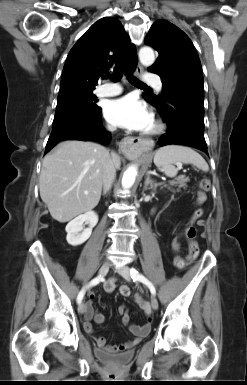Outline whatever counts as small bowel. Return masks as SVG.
I'll return each instance as SVG.
<instances>
[{"label":"small bowel","mask_w":247,"mask_h":385,"mask_svg":"<svg viewBox=\"0 0 247 385\" xmlns=\"http://www.w3.org/2000/svg\"><path fill=\"white\" fill-rule=\"evenodd\" d=\"M199 216L194 215L193 219L198 218ZM129 288V293L124 294L123 289ZM104 289L107 293H113L116 291L117 286H116V279L115 278H110L104 283ZM119 292L123 296H129L131 293V289L127 285H122L118 288ZM94 299H95V294L94 293H89L88 295V300L85 303L86 306V311L83 316V327L84 330L87 333H93V326H92V321L95 322L96 324H102L106 320V316L103 313H100L95 305H94ZM135 303L143 310V312L146 315V321L143 325H135L131 323L130 321V316L128 313V309L126 306L121 305L118 308V314L121 317V323L123 326L127 328L130 334L134 336L133 340L126 341L122 344L119 345H107L106 340L103 337H97L96 338V343L97 346L99 347V350H105L111 353H118V352H124L129 350L132 346H134L136 343L140 341L141 338H143L150 330L151 324H152V318H151V308L149 303L144 300L141 296L136 295L134 297Z\"/></svg>","instance_id":"small-bowel-1"}]
</instances>
